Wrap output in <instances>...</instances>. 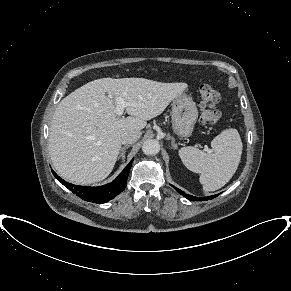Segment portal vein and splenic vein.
Segmentation results:
<instances>
[{"instance_id": "obj_1", "label": "portal vein and splenic vein", "mask_w": 291, "mask_h": 291, "mask_svg": "<svg viewBox=\"0 0 291 291\" xmlns=\"http://www.w3.org/2000/svg\"><path fill=\"white\" fill-rule=\"evenodd\" d=\"M129 104L124 101L123 98H117L116 99V114L118 116H121L125 110L126 107H128Z\"/></svg>"}]
</instances>
